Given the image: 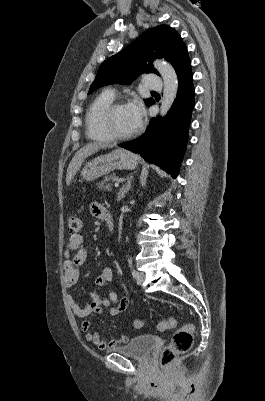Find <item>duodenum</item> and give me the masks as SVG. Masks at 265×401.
<instances>
[{
  "instance_id": "obj_1",
  "label": "duodenum",
  "mask_w": 265,
  "mask_h": 401,
  "mask_svg": "<svg viewBox=\"0 0 265 401\" xmlns=\"http://www.w3.org/2000/svg\"><path fill=\"white\" fill-rule=\"evenodd\" d=\"M103 219L106 221L109 230L113 231V227H114L113 219H112L111 214L108 211L105 212Z\"/></svg>"
}]
</instances>
